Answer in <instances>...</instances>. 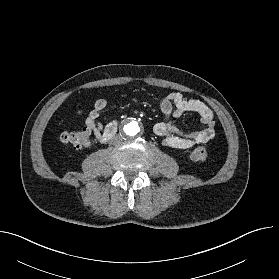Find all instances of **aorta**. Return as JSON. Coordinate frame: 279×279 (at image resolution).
Here are the masks:
<instances>
[{
    "mask_svg": "<svg viewBox=\"0 0 279 279\" xmlns=\"http://www.w3.org/2000/svg\"><path fill=\"white\" fill-rule=\"evenodd\" d=\"M141 133V123L137 120H127L122 126V134L126 138H135Z\"/></svg>",
    "mask_w": 279,
    "mask_h": 279,
    "instance_id": "aorta-1",
    "label": "aorta"
}]
</instances>
